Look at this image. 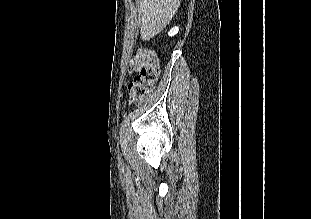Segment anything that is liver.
I'll return each instance as SVG.
<instances>
[{
	"label": "liver",
	"instance_id": "1",
	"mask_svg": "<svg viewBox=\"0 0 311 219\" xmlns=\"http://www.w3.org/2000/svg\"><path fill=\"white\" fill-rule=\"evenodd\" d=\"M141 15L140 34L149 40L162 31L172 20L181 0H136Z\"/></svg>",
	"mask_w": 311,
	"mask_h": 219
}]
</instances>
